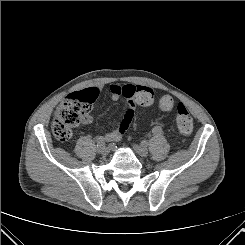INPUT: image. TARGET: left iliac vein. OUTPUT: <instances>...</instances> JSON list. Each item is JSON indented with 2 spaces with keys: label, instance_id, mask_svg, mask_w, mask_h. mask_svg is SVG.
Wrapping results in <instances>:
<instances>
[{
  "label": "left iliac vein",
  "instance_id": "1",
  "mask_svg": "<svg viewBox=\"0 0 245 245\" xmlns=\"http://www.w3.org/2000/svg\"><path fill=\"white\" fill-rule=\"evenodd\" d=\"M133 148L135 151L142 157L148 156V149L143 145H134Z\"/></svg>",
  "mask_w": 245,
  "mask_h": 245
}]
</instances>
